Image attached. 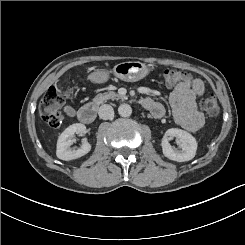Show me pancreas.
I'll return each instance as SVG.
<instances>
[{"instance_id": "1", "label": "pancreas", "mask_w": 245, "mask_h": 245, "mask_svg": "<svg viewBox=\"0 0 245 245\" xmlns=\"http://www.w3.org/2000/svg\"><path fill=\"white\" fill-rule=\"evenodd\" d=\"M108 99H116V100H123L124 96H121L113 91L99 93L97 94L92 100L90 101L92 104L99 106L100 104L104 103Z\"/></svg>"}]
</instances>
